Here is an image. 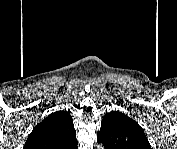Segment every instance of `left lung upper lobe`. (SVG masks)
I'll list each match as a JSON object with an SVG mask.
<instances>
[{
  "label": "left lung upper lobe",
  "instance_id": "1",
  "mask_svg": "<svg viewBox=\"0 0 177 149\" xmlns=\"http://www.w3.org/2000/svg\"><path fill=\"white\" fill-rule=\"evenodd\" d=\"M97 140L107 149H150L143 129L130 117L116 111L107 113Z\"/></svg>",
  "mask_w": 177,
  "mask_h": 149
}]
</instances>
